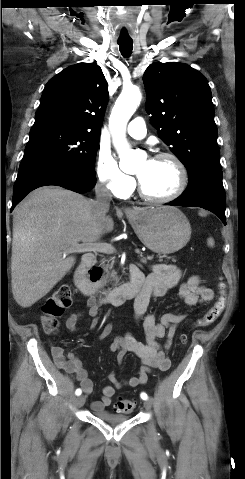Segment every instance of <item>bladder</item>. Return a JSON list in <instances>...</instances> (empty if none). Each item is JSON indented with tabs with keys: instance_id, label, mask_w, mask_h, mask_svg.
I'll list each match as a JSON object with an SVG mask.
<instances>
[{
	"instance_id": "obj_1",
	"label": "bladder",
	"mask_w": 245,
	"mask_h": 479,
	"mask_svg": "<svg viewBox=\"0 0 245 479\" xmlns=\"http://www.w3.org/2000/svg\"><path fill=\"white\" fill-rule=\"evenodd\" d=\"M95 417L102 421H106L113 424H119V423L125 422L130 418L129 415L112 414L110 412L97 413L95 414Z\"/></svg>"
}]
</instances>
